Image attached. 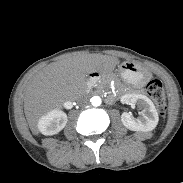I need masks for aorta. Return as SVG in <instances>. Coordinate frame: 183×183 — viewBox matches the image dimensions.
I'll list each match as a JSON object with an SVG mask.
<instances>
[{"label": "aorta", "mask_w": 183, "mask_h": 183, "mask_svg": "<svg viewBox=\"0 0 183 183\" xmlns=\"http://www.w3.org/2000/svg\"><path fill=\"white\" fill-rule=\"evenodd\" d=\"M90 102L93 106L97 107V106H100L101 103H102V100L99 96H93L91 99H90Z\"/></svg>", "instance_id": "obj_1"}]
</instances>
